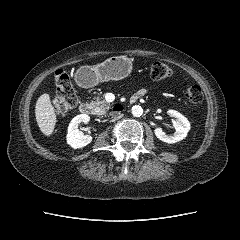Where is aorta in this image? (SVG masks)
<instances>
[{
    "instance_id": "obj_1",
    "label": "aorta",
    "mask_w": 240,
    "mask_h": 240,
    "mask_svg": "<svg viewBox=\"0 0 240 240\" xmlns=\"http://www.w3.org/2000/svg\"><path fill=\"white\" fill-rule=\"evenodd\" d=\"M131 112H132L133 116L140 117L143 113V109H142L141 106L135 105V106L132 107Z\"/></svg>"
}]
</instances>
